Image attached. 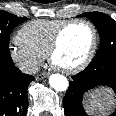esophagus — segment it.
I'll use <instances>...</instances> for the list:
<instances>
[{"label": "esophagus", "mask_w": 116, "mask_h": 116, "mask_svg": "<svg viewBox=\"0 0 116 116\" xmlns=\"http://www.w3.org/2000/svg\"><path fill=\"white\" fill-rule=\"evenodd\" d=\"M48 75H49V73H47V72L41 73V74H37V75H36V79H37V80H41V79L46 78Z\"/></svg>", "instance_id": "obj_1"}]
</instances>
